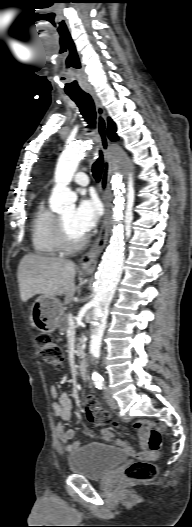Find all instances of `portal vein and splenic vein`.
<instances>
[{
	"label": "portal vein and splenic vein",
	"instance_id": "18ae733b",
	"mask_svg": "<svg viewBox=\"0 0 192 527\" xmlns=\"http://www.w3.org/2000/svg\"><path fill=\"white\" fill-rule=\"evenodd\" d=\"M68 323H69V325H75V320H74V317L72 315H69Z\"/></svg>",
	"mask_w": 192,
	"mask_h": 527
}]
</instances>
